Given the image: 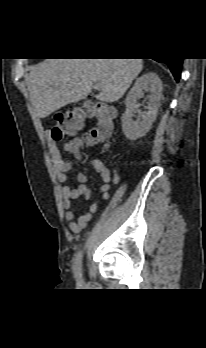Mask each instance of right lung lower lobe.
Here are the masks:
<instances>
[{
  "instance_id": "1",
  "label": "right lung lower lobe",
  "mask_w": 206,
  "mask_h": 348,
  "mask_svg": "<svg viewBox=\"0 0 206 348\" xmlns=\"http://www.w3.org/2000/svg\"><path fill=\"white\" fill-rule=\"evenodd\" d=\"M156 61L166 63L169 66L175 80L179 81L183 59H181V58H165V59L156 60Z\"/></svg>"
}]
</instances>
